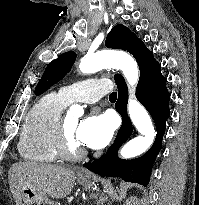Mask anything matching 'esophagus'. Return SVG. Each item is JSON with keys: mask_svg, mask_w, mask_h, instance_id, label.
Segmentation results:
<instances>
[{"mask_svg": "<svg viewBox=\"0 0 199 205\" xmlns=\"http://www.w3.org/2000/svg\"><path fill=\"white\" fill-rule=\"evenodd\" d=\"M79 174L81 176H85V177H91L92 176V174L90 172H88V171H86L84 169L80 170Z\"/></svg>", "mask_w": 199, "mask_h": 205, "instance_id": "34e87169", "label": "esophagus"}]
</instances>
